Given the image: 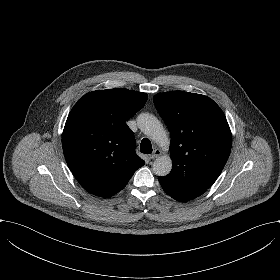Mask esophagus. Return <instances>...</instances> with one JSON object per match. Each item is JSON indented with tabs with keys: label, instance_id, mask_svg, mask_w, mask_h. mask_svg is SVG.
Wrapping results in <instances>:
<instances>
[{
	"label": "esophagus",
	"instance_id": "1",
	"mask_svg": "<svg viewBox=\"0 0 280 280\" xmlns=\"http://www.w3.org/2000/svg\"><path fill=\"white\" fill-rule=\"evenodd\" d=\"M161 151L160 149L156 148L153 153L149 156V159L153 160L156 159L158 156H160Z\"/></svg>",
	"mask_w": 280,
	"mask_h": 280
}]
</instances>
